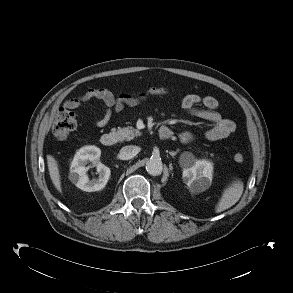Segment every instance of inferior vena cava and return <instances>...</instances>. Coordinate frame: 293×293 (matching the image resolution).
Segmentation results:
<instances>
[{"label": "inferior vena cava", "instance_id": "obj_1", "mask_svg": "<svg viewBox=\"0 0 293 293\" xmlns=\"http://www.w3.org/2000/svg\"><path fill=\"white\" fill-rule=\"evenodd\" d=\"M138 152H139V148L136 146H132V145L125 146L121 148L119 156L123 160H129L133 158L134 156H136Z\"/></svg>", "mask_w": 293, "mask_h": 293}]
</instances>
